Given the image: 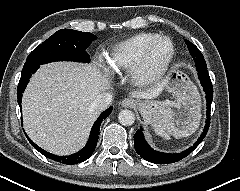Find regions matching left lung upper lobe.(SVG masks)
Listing matches in <instances>:
<instances>
[{"mask_svg":"<svg viewBox=\"0 0 240 191\" xmlns=\"http://www.w3.org/2000/svg\"><path fill=\"white\" fill-rule=\"evenodd\" d=\"M185 43L188 46L190 54L194 58L196 69L201 68V69L207 70L206 62L204 60L202 53L199 51V49L188 40H185Z\"/></svg>","mask_w":240,"mask_h":191,"instance_id":"1","label":"left lung upper lobe"}]
</instances>
